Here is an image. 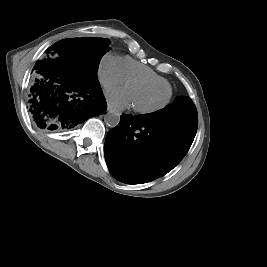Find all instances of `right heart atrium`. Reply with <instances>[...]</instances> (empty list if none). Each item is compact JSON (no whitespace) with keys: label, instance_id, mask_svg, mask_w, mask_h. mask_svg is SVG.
<instances>
[{"label":"right heart atrium","instance_id":"right-heart-atrium-1","mask_svg":"<svg viewBox=\"0 0 267 267\" xmlns=\"http://www.w3.org/2000/svg\"><path fill=\"white\" fill-rule=\"evenodd\" d=\"M97 73L104 87L120 85L125 81L121 68V58L110 53H106L100 59Z\"/></svg>","mask_w":267,"mask_h":267}]
</instances>
